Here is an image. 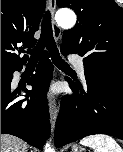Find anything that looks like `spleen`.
Returning a JSON list of instances; mask_svg holds the SVG:
<instances>
[{
  "instance_id": "3e777b00",
  "label": "spleen",
  "mask_w": 123,
  "mask_h": 152,
  "mask_svg": "<svg viewBox=\"0 0 123 152\" xmlns=\"http://www.w3.org/2000/svg\"><path fill=\"white\" fill-rule=\"evenodd\" d=\"M80 144L91 147L94 152H123L120 145L111 136L104 134L87 136L80 141Z\"/></svg>"
}]
</instances>
